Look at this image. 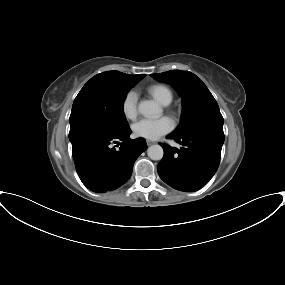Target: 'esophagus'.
<instances>
[{
  "mask_svg": "<svg viewBox=\"0 0 285 285\" xmlns=\"http://www.w3.org/2000/svg\"><path fill=\"white\" fill-rule=\"evenodd\" d=\"M146 142H147V145H148V146H150V145H152V144L154 143V142L151 141V140H147Z\"/></svg>",
  "mask_w": 285,
  "mask_h": 285,
  "instance_id": "esophagus-1",
  "label": "esophagus"
}]
</instances>
